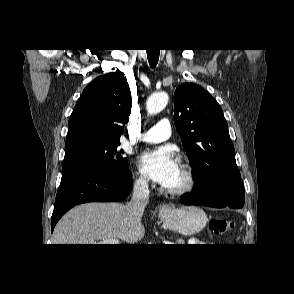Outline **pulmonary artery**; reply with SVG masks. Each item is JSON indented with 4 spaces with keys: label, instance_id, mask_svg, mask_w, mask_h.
Here are the masks:
<instances>
[{
    "label": "pulmonary artery",
    "instance_id": "pulmonary-artery-1",
    "mask_svg": "<svg viewBox=\"0 0 294 294\" xmlns=\"http://www.w3.org/2000/svg\"><path fill=\"white\" fill-rule=\"evenodd\" d=\"M171 136V127L167 119H163L148 131L140 135L143 142L158 143L167 140Z\"/></svg>",
    "mask_w": 294,
    "mask_h": 294
}]
</instances>
